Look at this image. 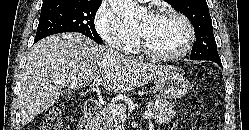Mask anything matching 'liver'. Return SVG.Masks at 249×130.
I'll use <instances>...</instances> for the list:
<instances>
[{
    "mask_svg": "<svg viewBox=\"0 0 249 130\" xmlns=\"http://www.w3.org/2000/svg\"><path fill=\"white\" fill-rule=\"evenodd\" d=\"M172 69L129 58L80 33L49 36L27 56L18 96L21 123L49 109L65 88L78 90L99 79L106 90L125 93Z\"/></svg>",
    "mask_w": 249,
    "mask_h": 130,
    "instance_id": "liver-1",
    "label": "liver"
}]
</instances>
